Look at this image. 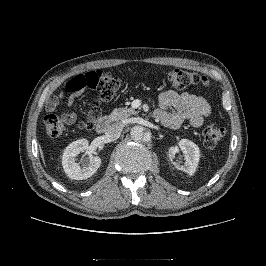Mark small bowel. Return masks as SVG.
<instances>
[{
  "label": "small bowel",
  "instance_id": "1",
  "mask_svg": "<svg viewBox=\"0 0 266 266\" xmlns=\"http://www.w3.org/2000/svg\"><path fill=\"white\" fill-rule=\"evenodd\" d=\"M68 93L67 105L72 107L80 92L70 91ZM159 105L160 108L157 110L161 113L159 119L163 125L171 129L180 127L185 121H189L194 127H199L211 112L209 103L203 97L189 92L177 93L172 90L162 92L159 96ZM170 108H174L175 112H170ZM63 118L71 124L76 116L73 112H68Z\"/></svg>",
  "mask_w": 266,
  "mask_h": 266
}]
</instances>
